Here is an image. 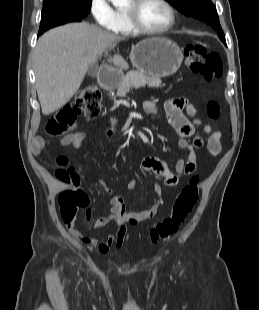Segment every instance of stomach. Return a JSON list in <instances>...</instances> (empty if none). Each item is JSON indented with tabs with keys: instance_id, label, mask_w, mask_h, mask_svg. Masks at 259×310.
Here are the masks:
<instances>
[{
	"instance_id": "1",
	"label": "stomach",
	"mask_w": 259,
	"mask_h": 310,
	"mask_svg": "<svg viewBox=\"0 0 259 310\" xmlns=\"http://www.w3.org/2000/svg\"><path fill=\"white\" fill-rule=\"evenodd\" d=\"M130 59L139 72L155 77H168L180 68L183 53L173 41L153 37L137 43L131 50Z\"/></svg>"
}]
</instances>
